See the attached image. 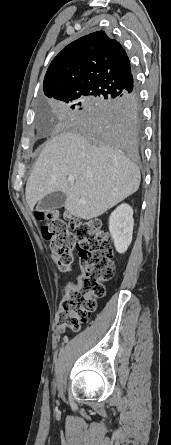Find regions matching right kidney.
Returning a JSON list of instances; mask_svg holds the SVG:
<instances>
[{
	"label": "right kidney",
	"mask_w": 171,
	"mask_h": 445,
	"mask_svg": "<svg viewBox=\"0 0 171 445\" xmlns=\"http://www.w3.org/2000/svg\"><path fill=\"white\" fill-rule=\"evenodd\" d=\"M133 210L128 204H121L110 215L109 231L118 253H124L132 241Z\"/></svg>",
	"instance_id": "right-kidney-1"
}]
</instances>
